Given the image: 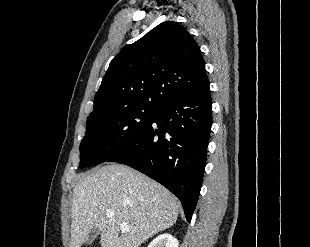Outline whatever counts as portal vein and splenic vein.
<instances>
[{
  "instance_id": "obj_1",
  "label": "portal vein and splenic vein",
  "mask_w": 310,
  "mask_h": 247,
  "mask_svg": "<svg viewBox=\"0 0 310 247\" xmlns=\"http://www.w3.org/2000/svg\"><path fill=\"white\" fill-rule=\"evenodd\" d=\"M106 216L108 218H112L114 216V212L112 210H107ZM120 227H121L122 230L129 231L128 225L126 223H124V222L120 223Z\"/></svg>"
}]
</instances>
